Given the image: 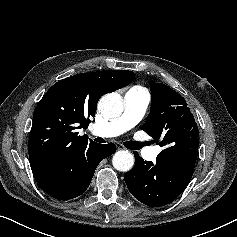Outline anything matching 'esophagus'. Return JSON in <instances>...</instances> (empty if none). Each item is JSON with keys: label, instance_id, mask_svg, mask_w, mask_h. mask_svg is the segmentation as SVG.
Wrapping results in <instances>:
<instances>
[{"label": "esophagus", "instance_id": "1", "mask_svg": "<svg viewBox=\"0 0 237 237\" xmlns=\"http://www.w3.org/2000/svg\"><path fill=\"white\" fill-rule=\"evenodd\" d=\"M117 149L118 150H124V149H126L121 143H117Z\"/></svg>", "mask_w": 237, "mask_h": 237}]
</instances>
